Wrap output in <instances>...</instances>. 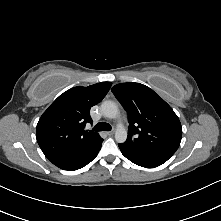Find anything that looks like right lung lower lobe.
<instances>
[{"label": "right lung lower lobe", "instance_id": "right-lung-lower-lobe-1", "mask_svg": "<svg viewBox=\"0 0 221 221\" xmlns=\"http://www.w3.org/2000/svg\"><path fill=\"white\" fill-rule=\"evenodd\" d=\"M103 139L95 145L88 153H86L76 164L65 170H77L90 163L99 153Z\"/></svg>", "mask_w": 221, "mask_h": 221}]
</instances>
